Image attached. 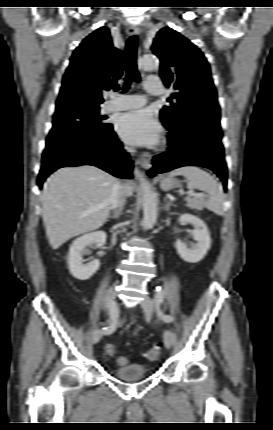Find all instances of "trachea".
I'll list each match as a JSON object with an SVG mask.
<instances>
[{
    "label": "trachea",
    "instance_id": "3493384b",
    "mask_svg": "<svg viewBox=\"0 0 273 430\" xmlns=\"http://www.w3.org/2000/svg\"><path fill=\"white\" fill-rule=\"evenodd\" d=\"M137 36H131L126 44V59H125V68H126V77H125V85L123 90L126 91L130 88L132 82H140V76L137 70Z\"/></svg>",
    "mask_w": 273,
    "mask_h": 430
}]
</instances>
